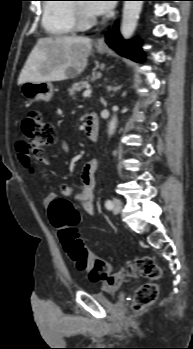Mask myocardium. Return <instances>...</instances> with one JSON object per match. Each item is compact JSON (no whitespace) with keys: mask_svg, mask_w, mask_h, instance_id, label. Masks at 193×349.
Returning <instances> with one entry per match:
<instances>
[{"mask_svg":"<svg viewBox=\"0 0 193 349\" xmlns=\"http://www.w3.org/2000/svg\"><path fill=\"white\" fill-rule=\"evenodd\" d=\"M73 21L75 29L85 30L96 23V18L86 9L84 4L76 2L73 5Z\"/></svg>","mask_w":193,"mask_h":349,"instance_id":"f54148a6","label":"myocardium"}]
</instances>
